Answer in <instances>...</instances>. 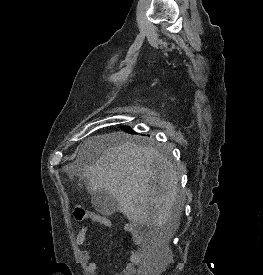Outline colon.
Segmentation results:
<instances>
[{
  "label": "colon",
  "instance_id": "1",
  "mask_svg": "<svg viewBox=\"0 0 263 275\" xmlns=\"http://www.w3.org/2000/svg\"><path fill=\"white\" fill-rule=\"evenodd\" d=\"M74 216L76 218V220L78 221H84V220H94L96 218V216H94L93 214L88 213L87 211H85L84 209L77 207L74 211ZM162 252V250L159 247H151L149 249V253L151 256H153V265H152V271L153 273L156 272L157 270V265H158V256L159 254Z\"/></svg>",
  "mask_w": 263,
  "mask_h": 275
}]
</instances>
